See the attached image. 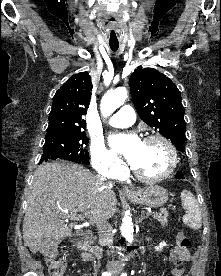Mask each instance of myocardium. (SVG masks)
Returning a JSON list of instances; mask_svg holds the SVG:
<instances>
[{
    "mask_svg": "<svg viewBox=\"0 0 221 276\" xmlns=\"http://www.w3.org/2000/svg\"><path fill=\"white\" fill-rule=\"evenodd\" d=\"M150 141H159L166 147L169 154L168 167L161 174L154 175V176H149L141 173L134 165L132 166V171L139 180L153 183V182H159L168 178L175 171L178 163V154L172 142L163 135L150 134L146 136L143 140V142H150Z\"/></svg>",
    "mask_w": 221,
    "mask_h": 276,
    "instance_id": "f54148a6",
    "label": "myocardium"
}]
</instances>
